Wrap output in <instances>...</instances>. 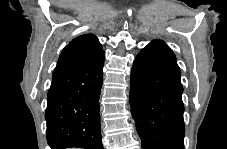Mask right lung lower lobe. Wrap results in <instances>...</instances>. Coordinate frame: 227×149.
Masks as SVG:
<instances>
[{
    "instance_id": "1",
    "label": "right lung lower lobe",
    "mask_w": 227,
    "mask_h": 149,
    "mask_svg": "<svg viewBox=\"0 0 227 149\" xmlns=\"http://www.w3.org/2000/svg\"><path fill=\"white\" fill-rule=\"evenodd\" d=\"M104 58L54 76L47 95L46 139L51 149H102L99 96Z\"/></svg>"
}]
</instances>
